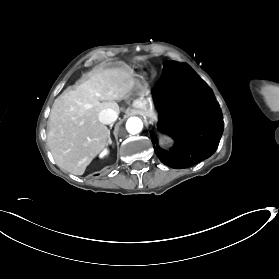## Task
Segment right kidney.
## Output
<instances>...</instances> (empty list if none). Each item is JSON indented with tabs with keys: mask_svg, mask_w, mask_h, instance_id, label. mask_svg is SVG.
Returning a JSON list of instances; mask_svg holds the SVG:
<instances>
[{
	"mask_svg": "<svg viewBox=\"0 0 279 279\" xmlns=\"http://www.w3.org/2000/svg\"><path fill=\"white\" fill-rule=\"evenodd\" d=\"M109 154V150L107 148H105L99 155L100 158H104L105 156H107Z\"/></svg>",
	"mask_w": 279,
	"mask_h": 279,
	"instance_id": "1",
	"label": "right kidney"
}]
</instances>
